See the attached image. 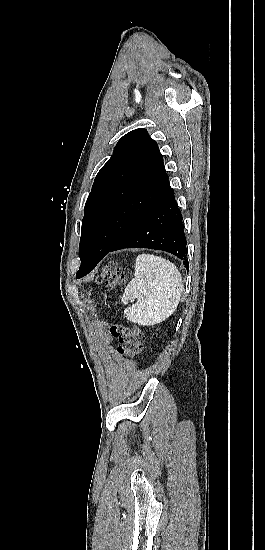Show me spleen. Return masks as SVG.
Wrapping results in <instances>:
<instances>
[{"label":"spleen","mask_w":265,"mask_h":550,"mask_svg":"<svg viewBox=\"0 0 265 550\" xmlns=\"http://www.w3.org/2000/svg\"><path fill=\"white\" fill-rule=\"evenodd\" d=\"M182 291V276L173 263L153 254H140L134 278L122 296L124 304L137 301L124 310V315L143 326L160 323L176 310Z\"/></svg>","instance_id":"spleen-1"}]
</instances>
